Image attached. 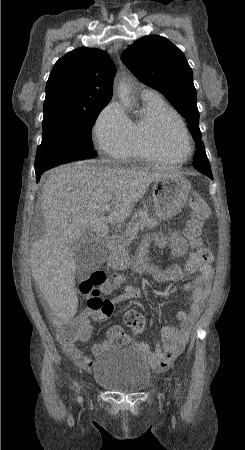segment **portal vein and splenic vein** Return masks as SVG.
I'll return each instance as SVG.
<instances>
[{"mask_svg":"<svg viewBox=\"0 0 245 450\" xmlns=\"http://www.w3.org/2000/svg\"><path fill=\"white\" fill-rule=\"evenodd\" d=\"M102 210H103V212H110L111 211L109 205L104 206Z\"/></svg>","mask_w":245,"mask_h":450,"instance_id":"portal-vein-and-splenic-vein-1","label":"portal vein and splenic vein"}]
</instances>
